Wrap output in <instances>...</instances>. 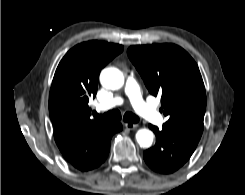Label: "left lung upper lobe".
<instances>
[{
    "label": "left lung upper lobe",
    "mask_w": 245,
    "mask_h": 195,
    "mask_svg": "<svg viewBox=\"0 0 245 195\" xmlns=\"http://www.w3.org/2000/svg\"><path fill=\"white\" fill-rule=\"evenodd\" d=\"M127 53L149 92L161 97L165 125L201 136L206 93L193 58L174 44L136 45Z\"/></svg>",
    "instance_id": "obj_1"
}]
</instances>
